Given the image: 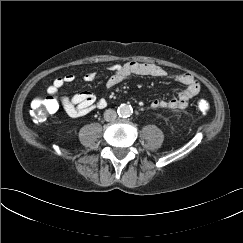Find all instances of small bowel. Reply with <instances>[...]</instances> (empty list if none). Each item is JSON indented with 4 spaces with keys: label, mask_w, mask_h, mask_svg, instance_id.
I'll use <instances>...</instances> for the list:
<instances>
[{
    "label": "small bowel",
    "mask_w": 243,
    "mask_h": 243,
    "mask_svg": "<svg viewBox=\"0 0 243 243\" xmlns=\"http://www.w3.org/2000/svg\"><path fill=\"white\" fill-rule=\"evenodd\" d=\"M111 75L106 81L107 88H112L124 81L131 75L151 76V77H166L167 71L151 63L126 62L117 63L111 66ZM96 72H87L84 75V80L91 82L96 78ZM175 80L183 84L185 87L178 93L177 97L171 99H153L150 103L152 108L162 109H184L188 106L189 101L197 95L200 90V84L189 73H181L175 75ZM76 77L73 74H68L63 77H58L49 85L47 92L54 96L63 110L72 118H78L87 115L95 109H104L108 102L105 98H97L89 92H82L71 96L58 97L59 90L66 84L73 83Z\"/></svg>",
    "instance_id": "small-bowel-1"
}]
</instances>
